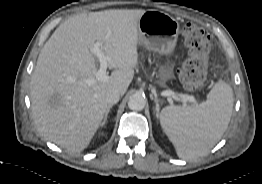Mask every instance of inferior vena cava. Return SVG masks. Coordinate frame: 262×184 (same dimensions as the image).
I'll use <instances>...</instances> for the list:
<instances>
[{
  "label": "inferior vena cava",
  "instance_id": "1",
  "mask_svg": "<svg viewBox=\"0 0 262 184\" xmlns=\"http://www.w3.org/2000/svg\"><path fill=\"white\" fill-rule=\"evenodd\" d=\"M120 97H121V93L118 90L116 89L110 90L106 94V102L109 105L116 104L119 101Z\"/></svg>",
  "mask_w": 262,
  "mask_h": 184
}]
</instances>
